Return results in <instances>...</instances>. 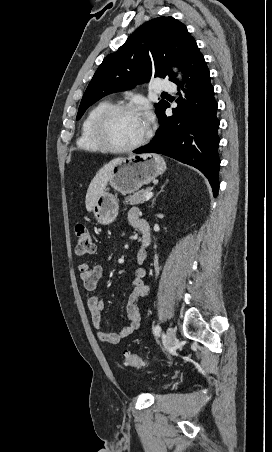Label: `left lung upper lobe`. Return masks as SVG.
I'll return each mask as SVG.
<instances>
[{
    "label": "left lung upper lobe",
    "mask_w": 272,
    "mask_h": 452,
    "mask_svg": "<svg viewBox=\"0 0 272 452\" xmlns=\"http://www.w3.org/2000/svg\"><path fill=\"white\" fill-rule=\"evenodd\" d=\"M196 44L184 24L173 17H158L138 28L115 52L106 56L98 67L81 100L77 120L86 109L105 95L132 88L155 77L175 75L167 66L181 70ZM167 102L155 104L157 115Z\"/></svg>",
    "instance_id": "obj_1"
}]
</instances>
